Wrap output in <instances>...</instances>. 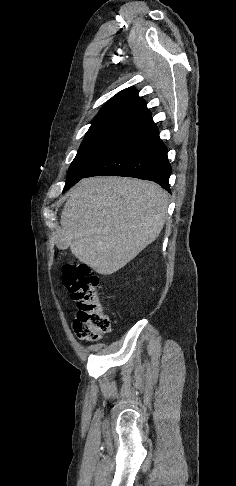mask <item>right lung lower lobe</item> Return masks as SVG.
<instances>
[{
    "label": "right lung lower lobe",
    "instance_id": "obj_1",
    "mask_svg": "<svg viewBox=\"0 0 236 486\" xmlns=\"http://www.w3.org/2000/svg\"><path fill=\"white\" fill-rule=\"evenodd\" d=\"M171 170L167 147L159 137L157 126L149 117L140 125V130L131 140L94 167L84 178L134 177L154 181L170 192Z\"/></svg>",
    "mask_w": 236,
    "mask_h": 486
}]
</instances>
